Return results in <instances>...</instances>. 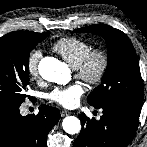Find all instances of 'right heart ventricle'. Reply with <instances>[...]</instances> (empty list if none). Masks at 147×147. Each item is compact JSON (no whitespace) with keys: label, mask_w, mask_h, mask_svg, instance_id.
Instances as JSON below:
<instances>
[{"label":"right heart ventricle","mask_w":147,"mask_h":147,"mask_svg":"<svg viewBox=\"0 0 147 147\" xmlns=\"http://www.w3.org/2000/svg\"><path fill=\"white\" fill-rule=\"evenodd\" d=\"M52 49L75 68L92 49V45L85 39L69 36L57 40Z\"/></svg>","instance_id":"obj_1"}]
</instances>
